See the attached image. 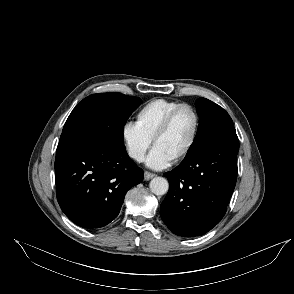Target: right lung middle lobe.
<instances>
[{"label": "right lung middle lobe", "instance_id": "dd1d6c3e", "mask_svg": "<svg viewBox=\"0 0 294 294\" xmlns=\"http://www.w3.org/2000/svg\"><path fill=\"white\" fill-rule=\"evenodd\" d=\"M140 104V98L121 93H99L86 97L69 115L57 152L74 144L97 141L123 143L124 125Z\"/></svg>", "mask_w": 294, "mask_h": 294}]
</instances>
